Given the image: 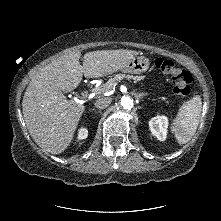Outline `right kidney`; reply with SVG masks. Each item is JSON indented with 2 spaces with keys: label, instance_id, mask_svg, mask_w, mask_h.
<instances>
[{
  "label": "right kidney",
  "instance_id": "1",
  "mask_svg": "<svg viewBox=\"0 0 221 221\" xmlns=\"http://www.w3.org/2000/svg\"><path fill=\"white\" fill-rule=\"evenodd\" d=\"M87 136H88V130L87 129H85V128H81L80 130H79V133H78V140H82V139H85V138H87Z\"/></svg>",
  "mask_w": 221,
  "mask_h": 221
}]
</instances>
